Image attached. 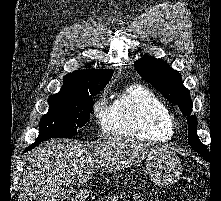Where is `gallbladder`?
<instances>
[{
    "instance_id": "1",
    "label": "gallbladder",
    "mask_w": 221,
    "mask_h": 201,
    "mask_svg": "<svg viewBox=\"0 0 221 201\" xmlns=\"http://www.w3.org/2000/svg\"><path fill=\"white\" fill-rule=\"evenodd\" d=\"M74 193H75V190L72 186H70V185L65 186L61 192L62 201H64V200L70 201V199L73 198Z\"/></svg>"
}]
</instances>
